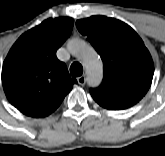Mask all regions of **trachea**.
I'll use <instances>...</instances> for the list:
<instances>
[{
  "label": "trachea",
  "instance_id": "obj_1",
  "mask_svg": "<svg viewBox=\"0 0 165 156\" xmlns=\"http://www.w3.org/2000/svg\"><path fill=\"white\" fill-rule=\"evenodd\" d=\"M70 73L73 77L81 76L83 73L82 65L78 62H74L70 66Z\"/></svg>",
  "mask_w": 165,
  "mask_h": 156
}]
</instances>
